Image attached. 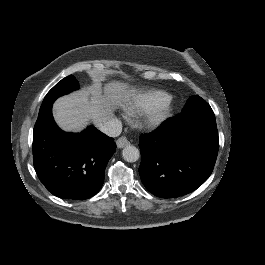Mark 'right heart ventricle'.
Wrapping results in <instances>:
<instances>
[{
  "label": "right heart ventricle",
  "mask_w": 265,
  "mask_h": 265,
  "mask_svg": "<svg viewBox=\"0 0 265 265\" xmlns=\"http://www.w3.org/2000/svg\"><path fill=\"white\" fill-rule=\"evenodd\" d=\"M157 93L158 91H149L140 94L133 101L116 102L115 108L119 110L121 117L127 118L134 113L144 110ZM117 124H120V121H117Z\"/></svg>",
  "instance_id": "right-heart-ventricle-1"
}]
</instances>
